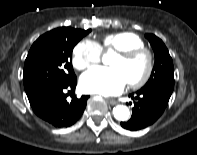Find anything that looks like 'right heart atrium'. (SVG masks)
<instances>
[{
    "label": "right heart atrium",
    "instance_id": "right-heart-atrium-1",
    "mask_svg": "<svg viewBox=\"0 0 197 155\" xmlns=\"http://www.w3.org/2000/svg\"><path fill=\"white\" fill-rule=\"evenodd\" d=\"M101 57L102 49L97 42L82 40L73 49L72 64L77 70H85L97 64Z\"/></svg>",
    "mask_w": 197,
    "mask_h": 155
}]
</instances>
